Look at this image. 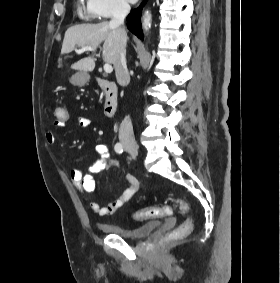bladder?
Instances as JSON below:
<instances>
[{"instance_id": "31cf9c89", "label": "bladder", "mask_w": 280, "mask_h": 283, "mask_svg": "<svg viewBox=\"0 0 280 283\" xmlns=\"http://www.w3.org/2000/svg\"><path fill=\"white\" fill-rule=\"evenodd\" d=\"M161 225L160 221H148L135 228H127L121 224L110 223L103 226V230L109 234L119 236L124 239L138 240L154 232Z\"/></svg>"}]
</instances>
